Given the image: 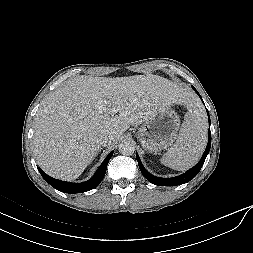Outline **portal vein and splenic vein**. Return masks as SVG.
I'll list each match as a JSON object with an SVG mask.
<instances>
[{"mask_svg": "<svg viewBox=\"0 0 253 253\" xmlns=\"http://www.w3.org/2000/svg\"><path fill=\"white\" fill-rule=\"evenodd\" d=\"M118 111H119V107H114V108H112V110H111V112H112L113 114H116Z\"/></svg>", "mask_w": 253, "mask_h": 253, "instance_id": "18ae733b", "label": "portal vein and splenic vein"}]
</instances>
